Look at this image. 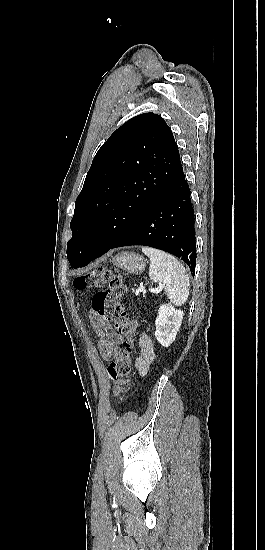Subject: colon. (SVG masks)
Returning <instances> with one entry per match:
<instances>
[{"label": "colon", "mask_w": 265, "mask_h": 550, "mask_svg": "<svg viewBox=\"0 0 265 550\" xmlns=\"http://www.w3.org/2000/svg\"><path fill=\"white\" fill-rule=\"evenodd\" d=\"M104 285H106L104 290L94 294L92 308L95 313L127 337L123 343V349L112 359L107 368L111 395L116 401L121 402L130 386L133 336L137 328L136 322L129 319L122 303L126 290L125 278L116 269L98 267L73 280V286L77 290L96 289Z\"/></svg>", "instance_id": "5ec220e1"}]
</instances>
